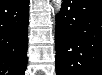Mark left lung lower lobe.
<instances>
[{
    "label": "left lung lower lobe",
    "instance_id": "left-lung-lower-lobe-1",
    "mask_svg": "<svg viewBox=\"0 0 102 75\" xmlns=\"http://www.w3.org/2000/svg\"><path fill=\"white\" fill-rule=\"evenodd\" d=\"M102 1L64 0L56 21V74L102 75Z\"/></svg>",
    "mask_w": 102,
    "mask_h": 75
}]
</instances>
